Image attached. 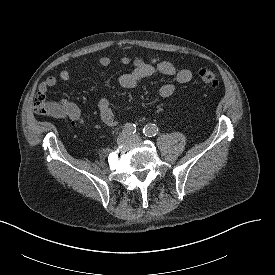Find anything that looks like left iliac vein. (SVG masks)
Returning a JSON list of instances; mask_svg holds the SVG:
<instances>
[{
	"mask_svg": "<svg viewBox=\"0 0 275 275\" xmlns=\"http://www.w3.org/2000/svg\"><path fill=\"white\" fill-rule=\"evenodd\" d=\"M141 140H142L141 137L138 135H133L131 137V141H134V142H140Z\"/></svg>",
	"mask_w": 275,
	"mask_h": 275,
	"instance_id": "obj_1",
	"label": "left iliac vein"
}]
</instances>
